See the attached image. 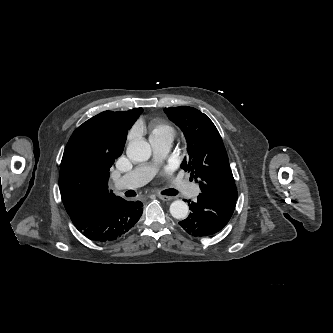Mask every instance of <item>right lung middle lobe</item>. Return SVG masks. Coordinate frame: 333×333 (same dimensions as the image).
Masks as SVG:
<instances>
[{
	"label": "right lung middle lobe",
	"instance_id": "right-lung-middle-lobe-1",
	"mask_svg": "<svg viewBox=\"0 0 333 333\" xmlns=\"http://www.w3.org/2000/svg\"><path fill=\"white\" fill-rule=\"evenodd\" d=\"M88 128L89 139L101 145H108L115 132V120L111 113L100 117L94 116Z\"/></svg>",
	"mask_w": 333,
	"mask_h": 333
}]
</instances>
